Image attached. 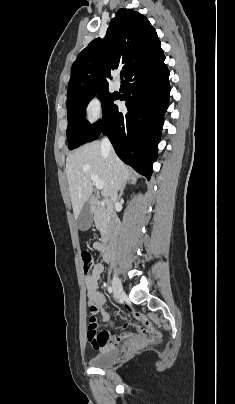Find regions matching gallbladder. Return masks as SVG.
Instances as JSON below:
<instances>
[{
    "label": "gallbladder",
    "instance_id": "gallbladder-1",
    "mask_svg": "<svg viewBox=\"0 0 235 404\" xmlns=\"http://www.w3.org/2000/svg\"><path fill=\"white\" fill-rule=\"evenodd\" d=\"M92 220L91 203L86 201L76 220L78 229L81 231H86L91 227Z\"/></svg>",
    "mask_w": 235,
    "mask_h": 404
}]
</instances>
